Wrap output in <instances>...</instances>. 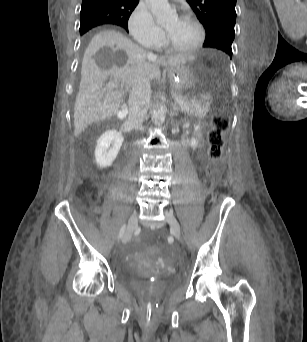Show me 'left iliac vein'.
Returning a JSON list of instances; mask_svg holds the SVG:
<instances>
[{
  "instance_id": "1",
  "label": "left iliac vein",
  "mask_w": 307,
  "mask_h": 342,
  "mask_svg": "<svg viewBox=\"0 0 307 342\" xmlns=\"http://www.w3.org/2000/svg\"><path fill=\"white\" fill-rule=\"evenodd\" d=\"M165 215L166 220L170 225L172 234L175 236L176 239L179 240L181 238V229L177 219L174 217L172 212H166Z\"/></svg>"
}]
</instances>
